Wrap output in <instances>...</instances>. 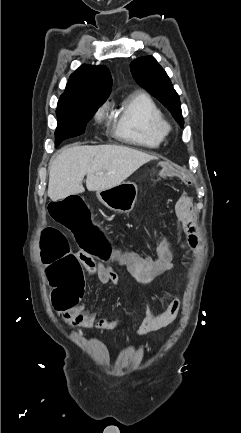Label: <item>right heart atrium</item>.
<instances>
[{
	"label": "right heart atrium",
	"mask_w": 241,
	"mask_h": 433,
	"mask_svg": "<svg viewBox=\"0 0 241 433\" xmlns=\"http://www.w3.org/2000/svg\"><path fill=\"white\" fill-rule=\"evenodd\" d=\"M104 114H105V107H101V108L96 112L95 118H96L97 120H101V119L104 117Z\"/></svg>",
	"instance_id": "obj_1"
}]
</instances>
